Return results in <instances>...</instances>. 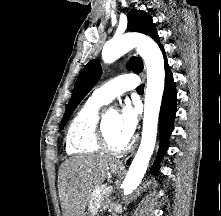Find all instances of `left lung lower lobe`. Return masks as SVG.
<instances>
[{
    "label": "left lung lower lobe",
    "instance_id": "left-lung-lower-lobe-1",
    "mask_svg": "<svg viewBox=\"0 0 221 216\" xmlns=\"http://www.w3.org/2000/svg\"><path fill=\"white\" fill-rule=\"evenodd\" d=\"M163 54H165L164 47L159 44ZM165 88L160 109L159 117V135L160 147L157 158L161 159L168 148V140L173 130V122L176 113V89L173 80V75L165 59ZM159 168V161L156 160L152 166L151 173L156 174Z\"/></svg>",
    "mask_w": 221,
    "mask_h": 216
}]
</instances>
